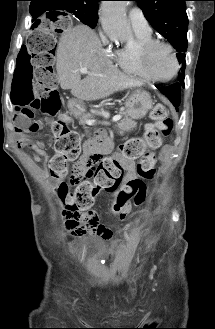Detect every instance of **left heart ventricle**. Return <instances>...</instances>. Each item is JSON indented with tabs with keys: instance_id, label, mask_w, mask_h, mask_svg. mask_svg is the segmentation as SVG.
<instances>
[{
	"instance_id": "left-heart-ventricle-1",
	"label": "left heart ventricle",
	"mask_w": 215,
	"mask_h": 329,
	"mask_svg": "<svg viewBox=\"0 0 215 329\" xmlns=\"http://www.w3.org/2000/svg\"><path fill=\"white\" fill-rule=\"evenodd\" d=\"M150 72L159 78H166L174 71V59L168 48L159 46L155 48L149 60Z\"/></svg>"
}]
</instances>
